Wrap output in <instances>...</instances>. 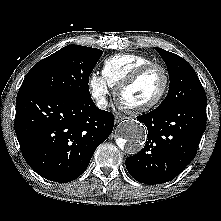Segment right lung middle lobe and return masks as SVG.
Listing matches in <instances>:
<instances>
[{"instance_id":"dd1d6c3e","label":"right lung middle lobe","mask_w":221,"mask_h":221,"mask_svg":"<svg viewBox=\"0 0 221 221\" xmlns=\"http://www.w3.org/2000/svg\"><path fill=\"white\" fill-rule=\"evenodd\" d=\"M102 53L96 48L68 45L34 65L19 91L90 99L89 76Z\"/></svg>"}]
</instances>
